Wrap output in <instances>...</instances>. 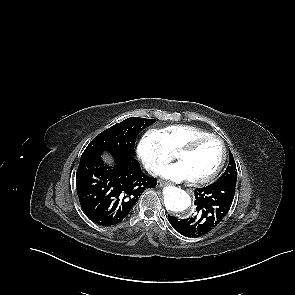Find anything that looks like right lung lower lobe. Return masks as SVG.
I'll list each match as a JSON object with an SVG mask.
<instances>
[{
    "mask_svg": "<svg viewBox=\"0 0 295 295\" xmlns=\"http://www.w3.org/2000/svg\"><path fill=\"white\" fill-rule=\"evenodd\" d=\"M114 166L100 156L80 161L77 194L85 214L95 223L111 226L127 217L135 202L157 180L145 175L130 153L113 154Z\"/></svg>",
    "mask_w": 295,
    "mask_h": 295,
    "instance_id": "obj_1",
    "label": "right lung lower lobe"
}]
</instances>
